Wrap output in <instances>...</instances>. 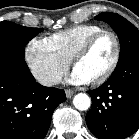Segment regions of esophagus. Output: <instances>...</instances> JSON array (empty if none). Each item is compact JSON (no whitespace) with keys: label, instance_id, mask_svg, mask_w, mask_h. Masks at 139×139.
Instances as JSON below:
<instances>
[{"label":"esophagus","instance_id":"1","mask_svg":"<svg viewBox=\"0 0 139 139\" xmlns=\"http://www.w3.org/2000/svg\"><path fill=\"white\" fill-rule=\"evenodd\" d=\"M65 94H66L67 98H71L74 94V91L71 89H67V90H65Z\"/></svg>","mask_w":139,"mask_h":139}]
</instances>
